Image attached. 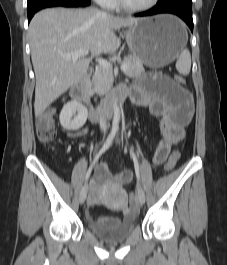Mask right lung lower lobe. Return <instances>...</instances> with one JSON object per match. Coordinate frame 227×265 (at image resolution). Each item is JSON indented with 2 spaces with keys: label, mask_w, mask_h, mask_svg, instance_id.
Wrapping results in <instances>:
<instances>
[{
  "label": "right lung lower lobe",
  "mask_w": 227,
  "mask_h": 265,
  "mask_svg": "<svg viewBox=\"0 0 227 265\" xmlns=\"http://www.w3.org/2000/svg\"><path fill=\"white\" fill-rule=\"evenodd\" d=\"M90 4V0H39L37 3L27 6L28 22L33 15L44 8L48 7H85Z\"/></svg>",
  "instance_id": "98d812e1"
}]
</instances>
